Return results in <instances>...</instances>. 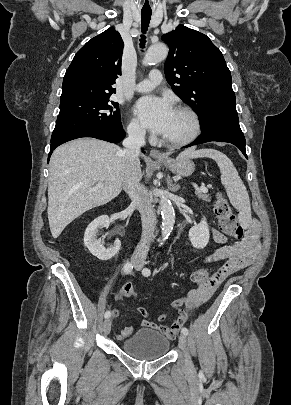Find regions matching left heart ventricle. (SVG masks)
Masks as SVG:
<instances>
[{
  "mask_svg": "<svg viewBox=\"0 0 291 405\" xmlns=\"http://www.w3.org/2000/svg\"><path fill=\"white\" fill-rule=\"evenodd\" d=\"M191 131V122L189 117L178 110H174L170 125L163 134L169 139H180L187 136Z\"/></svg>",
  "mask_w": 291,
  "mask_h": 405,
  "instance_id": "left-heart-ventricle-1",
  "label": "left heart ventricle"
}]
</instances>
